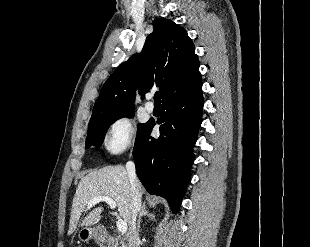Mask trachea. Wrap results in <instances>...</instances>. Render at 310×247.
Here are the masks:
<instances>
[{
  "instance_id": "1",
  "label": "trachea",
  "mask_w": 310,
  "mask_h": 247,
  "mask_svg": "<svg viewBox=\"0 0 310 247\" xmlns=\"http://www.w3.org/2000/svg\"><path fill=\"white\" fill-rule=\"evenodd\" d=\"M154 101H155V103H160L161 102V94H160V92H156L155 93Z\"/></svg>"
}]
</instances>
